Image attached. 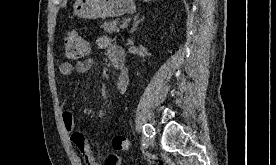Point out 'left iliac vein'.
Masks as SVG:
<instances>
[{"mask_svg":"<svg viewBox=\"0 0 276 165\" xmlns=\"http://www.w3.org/2000/svg\"><path fill=\"white\" fill-rule=\"evenodd\" d=\"M154 140H155V131L153 132L152 134V137L149 138V144H153L154 143Z\"/></svg>","mask_w":276,"mask_h":165,"instance_id":"obj_1","label":"left iliac vein"}]
</instances>
